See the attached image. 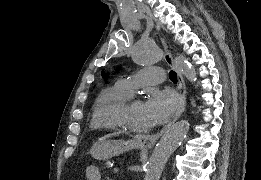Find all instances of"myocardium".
Returning <instances> with one entry per match:
<instances>
[{
	"mask_svg": "<svg viewBox=\"0 0 261 180\" xmlns=\"http://www.w3.org/2000/svg\"><path fill=\"white\" fill-rule=\"evenodd\" d=\"M138 99H139V97L137 94L131 93L124 99L122 105H120L119 107H117L114 110L113 120H114V127H115L117 136L126 137V138L133 139V140H140L144 136L152 135L156 131V124H154L146 134H143V135L136 134V133L130 131L125 126V124L122 122V120L120 119L119 115L122 112H124L133 101L138 100Z\"/></svg>",
	"mask_w": 261,
	"mask_h": 180,
	"instance_id": "obj_1",
	"label": "myocardium"
}]
</instances>
